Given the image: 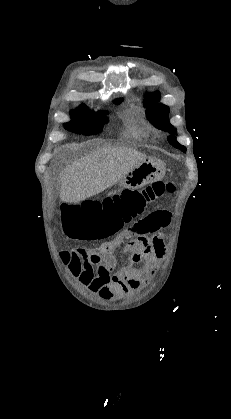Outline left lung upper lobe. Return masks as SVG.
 <instances>
[{
  "label": "left lung upper lobe",
  "instance_id": "5c2ea615",
  "mask_svg": "<svg viewBox=\"0 0 231 419\" xmlns=\"http://www.w3.org/2000/svg\"><path fill=\"white\" fill-rule=\"evenodd\" d=\"M159 101V92L148 95L144 102L147 108L146 114L150 122L158 129L169 132L171 135L168 137L169 143L186 152L185 146L179 144L176 140V129L169 123V108L166 105L157 103Z\"/></svg>",
  "mask_w": 231,
  "mask_h": 419
}]
</instances>
